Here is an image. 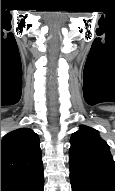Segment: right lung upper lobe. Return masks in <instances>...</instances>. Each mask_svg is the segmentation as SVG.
<instances>
[{
    "label": "right lung upper lobe",
    "mask_w": 115,
    "mask_h": 191,
    "mask_svg": "<svg viewBox=\"0 0 115 191\" xmlns=\"http://www.w3.org/2000/svg\"><path fill=\"white\" fill-rule=\"evenodd\" d=\"M39 136L29 128L6 134L1 141V178L26 176L43 169Z\"/></svg>",
    "instance_id": "cb5924a9"
}]
</instances>
